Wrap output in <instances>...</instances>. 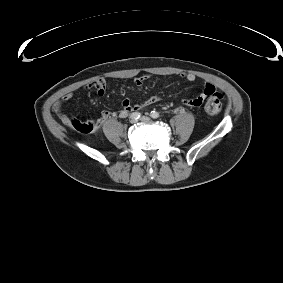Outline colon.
Listing matches in <instances>:
<instances>
[{
	"label": "colon",
	"mask_w": 283,
	"mask_h": 283,
	"mask_svg": "<svg viewBox=\"0 0 283 283\" xmlns=\"http://www.w3.org/2000/svg\"><path fill=\"white\" fill-rule=\"evenodd\" d=\"M208 112L212 116H216L220 112V102H215L209 107ZM72 127L80 133H90L91 132V125L90 124H83L80 122H73Z\"/></svg>",
	"instance_id": "1"
}]
</instances>
